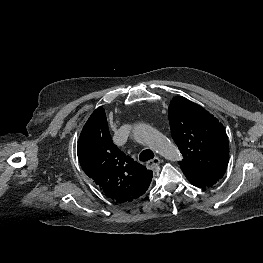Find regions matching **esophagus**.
Masks as SVG:
<instances>
[{
  "mask_svg": "<svg viewBox=\"0 0 263 263\" xmlns=\"http://www.w3.org/2000/svg\"><path fill=\"white\" fill-rule=\"evenodd\" d=\"M161 163V158H159L158 156L154 157L153 159L149 160L146 163V167L148 169H154L155 167H157L159 164Z\"/></svg>",
  "mask_w": 263,
  "mask_h": 263,
  "instance_id": "obj_1",
  "label": "esophagus"
}]
</instances>
